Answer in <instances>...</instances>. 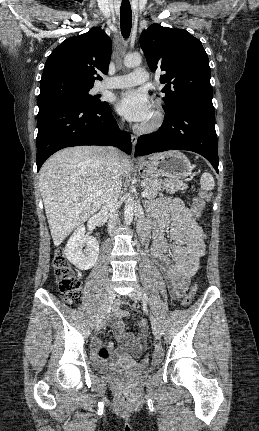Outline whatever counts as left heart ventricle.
Listing matches in <instances>:
<instances>
[{
  "instance_id": "1",
  "label": "left heart ventricle",
  "mask_w": 259,
  "mask_h": 431,
  "mask_svg": "<svg viewBox=\"0 0 259 431\" xmlns=\"http://www.w3.org/2000/svg\"><path fill=\"white\" fill-rule=\"evenodd\" d=\"M151 118H152V115H151V117L146 122H149L151 120Z\"/></svg>"
}]
</instances>
